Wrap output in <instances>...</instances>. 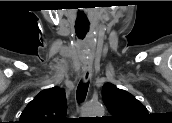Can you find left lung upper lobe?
<instances>
[{
  "label": "left lung upper lobe",
  "mask_w": 172,
  "mask_h": 123,
  "mask_svg": "<svg viewBox=\"0 0 172 123\" xmlns=\"http://www.w3.org/2000/svg\"><path fill=\"white\" fill-rule=\"evenodd\" d=\"M102 98L107 107L110 120L115 122H134L148 115L146 107L129 92L106 83L102 88Z\"/></svg>",
  "instance_id": "left-lung-upper-lobe-1"
}]
</instances>
